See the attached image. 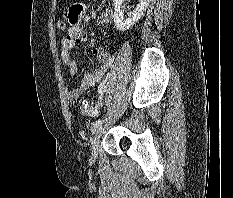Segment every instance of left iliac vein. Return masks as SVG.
I'll return each mask as SVG.
<instances>
[{"instance_id": "4c4485c4", "label": "left iliac vein", "mask_w": 233, "mask_h": 198, "mask_svg": "<svg viewBox=\"0 0 233 198\" xmlns=\"http://www.w3.org/2000/svg\"><path fill=\"white\" fill-rule=\"evenodd\" d=\"M102 130H103L102 126L96 128L93 131L91 139H90L91 149H92V156L94 158H96L97 155H98V147H99V141H100V137H101V134H102Z\"/></svg>"}]
</instances>
